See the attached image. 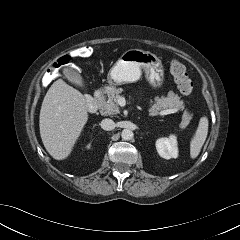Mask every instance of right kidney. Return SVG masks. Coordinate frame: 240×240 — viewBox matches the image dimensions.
I'll list each match as a JSON object with an SVG mask.
<instances>
[{
  "label": "right kidney",
  "instance_id": "ca27d5eb",
  "mask_svg": "<svg viewBox=\"0 0 240 240\" xmlns=\"http://www.w3.org/2000/svg\"><path fill=\"white\" fill-rule=\"evenodd\" d=\"M87 148H88V149L90 148V144L87 146Z\"/></svg>",
  "mask_w": 240,
  "mask_h": 240
}]
</instances>
